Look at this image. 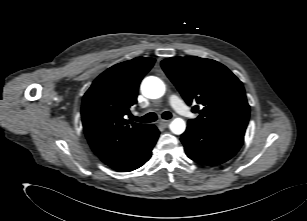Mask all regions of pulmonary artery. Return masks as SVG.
I'll return each instance as SVG.
<instances>
[{"instance_id":"obj_1","label":"pulmonary artery","mask_w":307,"mask_h":221,"mask_svg":"<svg viewBox=\"0 0 307 221\" xmlns=\"http://www.w3.org/2000/svg\"><path fill=\"white\" fill-rule=\"evenodd\" d=\"M169 105L179 114L185 115L188 111L180 97L176 94H171L168 98Z\"/></svg>"}]
</instances>
